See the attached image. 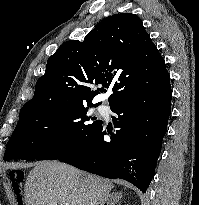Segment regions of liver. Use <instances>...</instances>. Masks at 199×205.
Segmentation results:
<instances>
[{"instance_id":"obj_1","label":"liver","mask_w":199,"mask_h":205,"mask_svg":"<svg viewBox=\"0 0 199 205\" xmlns=\"http://www.w3.org/2000/svg\"><path fill=\"white\" fill-rule=\"evenodd\" d=\"M113 184L58 161L36 163L25 184L26 205H114Z\"/></svg>"}]
</instances>
